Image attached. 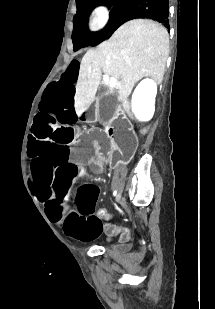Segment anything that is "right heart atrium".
I'll list each match as a JSON object with an SVG mask.
<instances>
[{
  "mask_svg": "<svg viewBox=\"0 0 215 309\" xmlns=\"http://www.w3.org/2000/svg\"><path fill=\"white\" fill-rule=\"evenodd\" d=\"M108 13L104 8H100L93 12L91 16L92 23L99 29H108Z\"/></svg>",
  "mask_w": 215,
  "mask_h": 309,
  "instance_id": "1",
  "label": "right heart atrium"
}]
</instances>
